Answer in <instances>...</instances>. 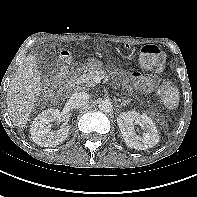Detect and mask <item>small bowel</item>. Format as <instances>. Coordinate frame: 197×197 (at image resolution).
Wrapping results in <instances>:
<instances>
[{"label": "small bowel", "instance_id": "c3829d8e", "mask_svg": "<svg viewBox=\"0 0 197 197\" xmlns=\"http://www.w3.org/2000/svg\"><path fill=\"white\" fill-rule=\"evenodd\" d=\"M158 83V77L156 75H147L141 73H134L132 75V84L138 90L148 93L151 92Z\"/></svg>", "mask_w": 197, "mask_h": 197}]
</instances>
